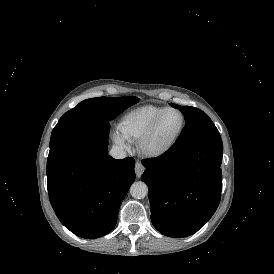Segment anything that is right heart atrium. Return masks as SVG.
Instances as JSON below:
<instances>
[{"label":"right heart atrium","mask_w":274,"mask_h":274,"mask_svg":"<svg viewBox=\"0 0 274 274\" xmlns=\"http://www.w3.org/2000/svg\"><path fill=\"white\" fill-rule=\"evenodd\" d=\"M114 139L117 143H119L122 147L124 148H129V145L127 144V142L125 141V139L120 135V134H115L114 135Z\"/></svg>","instance_id":"1"}]
</instances>
